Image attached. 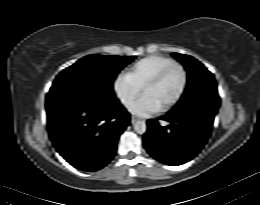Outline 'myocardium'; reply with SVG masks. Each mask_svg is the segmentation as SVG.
Wrapping results in <instances>:
<instances>
[{"label": "myocardium", "mask_w": 260, "mask_h": 205, "mask_svg": "<svg viewBox=\"0 0 260 205\" xmlns=\"http://www.w3.org/2000/svg\"><path fill=\"white\" fill-rule=\"evenodd\" d=\"M174 70H178L182 74V84L177 92V94L164 106L160 107L162 111H168L172 109L174 106H176L184 97L188 86H189V73L186 70V68L180 64H174L172 66H169L156 75H154L144 86V92L148 91L150 88L158 84L160 81L164 79L169 73H171Z\"/></svg>", "instance_id": "f54148a6"}]
</instances>
